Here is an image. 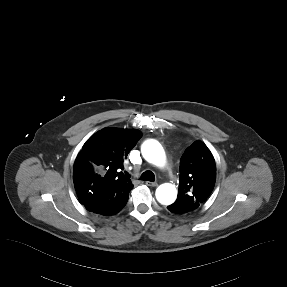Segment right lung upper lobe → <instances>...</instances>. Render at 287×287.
Instances as JSON below:
<instances>
[{"mask_svg": "<svg viewBox=\"0 0 287 287\" xmlns=\"http://www.w3.org/2000/svg\"><path fill=\"white\" fill-rule=\"evenodd\" d=\"M135 129L104 128L91 136L78 154L73 181L81 203L92 187L123 184L133 187L121 170L130 150L141 138Z\"/></svg>", "mask_w": 287, "mask_h": 287, "instance_id": "obj_1", "label": "right lung upper lobe"}]
</instances>
